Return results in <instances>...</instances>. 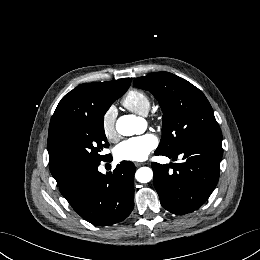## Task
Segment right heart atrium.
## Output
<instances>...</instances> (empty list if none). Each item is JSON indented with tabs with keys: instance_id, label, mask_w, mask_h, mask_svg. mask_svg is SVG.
<instances>
[{
	"instance_id": "obj_1",
	"label": "right heart atrium",
	"mask_w": 260,
	"mask_h": 260,
	"mask_svg": "<svg viewBox=\"0 0 260 260\" xmlns=\"http://www.w3.org/2000/svg\"><path fill=\"white\" fill-rule=\"evenodd\" d=\"M116 108L114 106L108 107L103 116H102V129L105 134V136L112 140L116 137V127H115V122H116Z\"/></svg>"
}]
</instances>
